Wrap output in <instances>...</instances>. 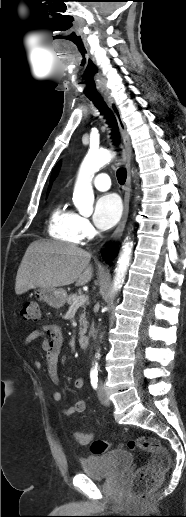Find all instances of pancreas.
<instances>
[{
	"label": "pancreas",
	"mask_w": 186,
	"mask_h": 517,
	"mask_svg": "<svg viewBox=\"0 0 186 517\" xmlns=\"http://www.w3.org/2000/svg\"><path fill=\"white\" fill-rule=\"evenodd\" d=\"M78 297H79V295H77L76 293H75V294H71V295H69V296L67 297V299H66V300H67L68 305H72V304H73V302H74V300H75L76 298H78ZM79 323H80V326H81V327H80L79 334H80V335H84V334L86 333V331H87V320H86V317H85V312H84V313H82V314L80 315Z\"/></svg>",
	"instance_id": "pancreas-1"
}]
</instances>
